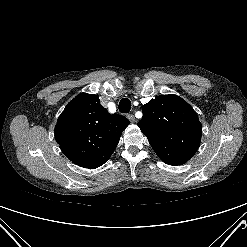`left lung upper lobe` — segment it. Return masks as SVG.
<instances>
[{
    "mask_svg": "<svg viewBox=\"0 0 247 247\" xmlns=\"http://www.w3.org/2000/svg\"><path fill=\"white\" fill-rule=\"evenodd\" d=\"M138 122L158 157L182 165L197 151L202 127L194 109L177 95H161L142 107Z\"/></svg>",
    "mask_w": 247,
    "mask_h": 247,
    "instance_id": "1",
    "label": "left lung upper lobe"
}]
</instances>
